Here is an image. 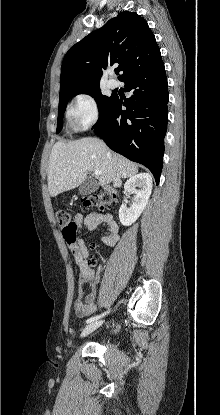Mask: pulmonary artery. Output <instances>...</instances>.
<instances>
[{"mask_svg":"<svg viewBox=\"0 0 220 415\" xmlns=\"http://www.w3.org/2000/svg\"><path fill=\"white\" fill-rule=\"evenodd\" d=\"M108 85L110 88L114 89L118 86V82L115 79H109Z\"/></svg>","mask_w":220,"mask_h":415,"instance_id":"pulmonary-artery-1","label":"pulmonary artery"}]
</instances>
